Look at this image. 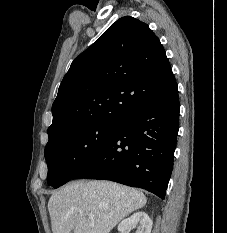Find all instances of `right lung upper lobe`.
Instances as JSON below:
<instances>
[{"instance_id": "right-lung-upper-lobe-1", "label": "right lung upper lobe", "mask_w": 227, "mask_h": 233, "mask_svg": "<svg viewBox=\"0 0 227 233\" xmlns=\"http://www.w3.org/2000/svg\"><path fill=\"white\" fill-rule=\"evenodd\" d=\"M175 77L159 38L130 16L72 62L52 106L49 139L95 122H120L165 93Z\"/></svg>"}]
</instances>
